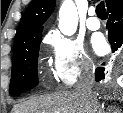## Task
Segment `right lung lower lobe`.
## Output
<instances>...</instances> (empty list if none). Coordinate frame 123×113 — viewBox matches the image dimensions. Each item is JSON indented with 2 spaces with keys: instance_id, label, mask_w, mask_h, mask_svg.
<instances>
[{
  "instance_id": "98d812e1",
  "label": "right lung lower lobe",
  "mask_w": 123,
  "mask_h": 113,
  "mask_svg": "<svg viewBox=\"0 0 123 113\" xmlns=\"http://www.w3.org/2000/svg\"><path fill=\"white\" fill-rule=\"evenodd\" d=\"M109 20L107 22L108 40L112 52L118 50L123 44V0H110L107 5ZM96 81L104 79V68L98 67L95 71Z\"/></svg>"
}]
</instances>
